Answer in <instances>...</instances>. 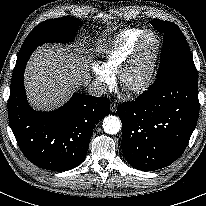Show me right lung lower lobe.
<instances>
[{"mask_svg": "<svg viewBox=\"0 0 206 206\" xmlns=\"http://www.w3.org/2000/svg\"><path fill=\"white\" fill-rule=\"evenodd\" d=\"M25 66L12 79L8 99L9 124L16 141L26 158L40 168L73 169L86 155L93 128L110 113L109 100L74 94L54 111H35L26 98Z\"/></svg>", "mask_w": 206, "mask_h": 206, "instance_id": "obj_1", "label": "right lung lower lobe"}]
</instances>
